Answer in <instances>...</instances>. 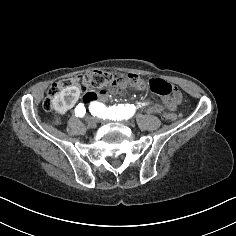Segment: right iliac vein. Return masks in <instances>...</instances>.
<instances>
[{"label":"right iliac vein","mask_w":236,"mask_h":236,"mask_svg":"<svg viewBox=\"0 0 236 236\" xmlns=\"http://www.w3.org/2000/svg\"><path fill=\"white\" fill-rule=\"evenodd\" d=\"M85 124L89 127V128H94L97 125V121L93 119V117H87L85 119Z\"/></svg>","instance_id":"right-iliac-vein-1"}]
</instances>
